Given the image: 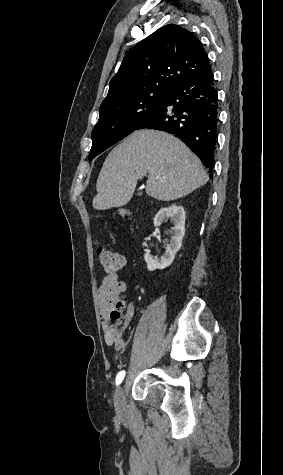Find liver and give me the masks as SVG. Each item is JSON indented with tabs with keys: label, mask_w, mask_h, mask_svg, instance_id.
<instances>
[{
	"label": "liver",
	"mask_w": 283,
	"mask_h": 475,
	"mask_svg": "<svg viewBox=\"0 0 283 475\" xmlns=\"http://www.w3.org/2000/svg\"><path fill=\"white\" fill-rule=\"evenodd\" d=\"M146 174V194L162 202L183 198L209 180L202 162L181 140L158 130H136L107 156L98 176L93 208L125 206L137 180Z\"/></svg>",
	"instance_id": "liver-1"
}]
</instances>
